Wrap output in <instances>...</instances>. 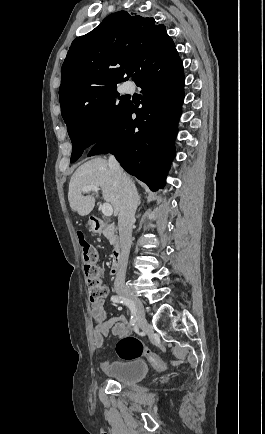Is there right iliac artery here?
<instances>
[{
	"instance_id": "obj_1",
	"label": "right iliac artery",
	"mask_w": 265,
	"mask_h": 434,
	"mask_svg": "<svg viewBox=\"0 0 265 434\" xmlns=\"http://www.w3.org/2000/svg\"><path fill=\"white\" fill-rule=\"evenodd\" d=\"M111 301L114 303H121V304H125L127 307H129V309L131 310V319H130V323L131 325H134L137 321V315H136V310L134 308V306L132 305V303L130 302V300L120 296V295H113L111 297Z\"/></svg>"
}]
</instances>
